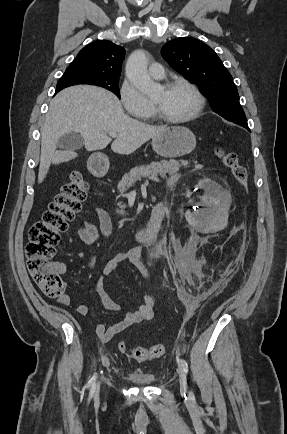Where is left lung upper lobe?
<instances>
[{"label": "left lung upper lobe", "instance_id": "5c2ea615", "mask_svg": "<svg viewBox=\"0 0 287 434\" xmlns=\"http://www.w3.org/2000/svg\"><path fill=\"white\" fill-rule=\"evenodd\" d=\"M161 54L173 69L202 88L217 114L245 117L231 74L209 46L195 38L181 37L167 42Z\"/></svg>", "mask_w": 287, "mask_h": 434}]
</instances>
